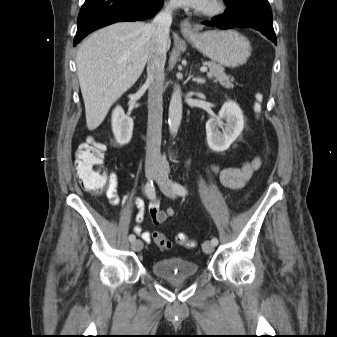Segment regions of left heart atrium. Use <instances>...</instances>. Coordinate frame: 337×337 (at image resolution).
Masks as SVG:
<instances>
[{
  "instance_id": "39dd6f15",
  "label": "left heart atrium",
  "mask_w": 337,
  "mask_h": 337,
  "mask_svg": "<svg viewBox=\"0 0 337 337\" xmlns=\"http://www.w3.org/2000/svg\"><path fill=\"white\" fill-rule=\"evenodd\" d=\"M173 1L180 6H186L195 9H203L210 2V0H173Z\"/></svg>"
}]
</instances>
